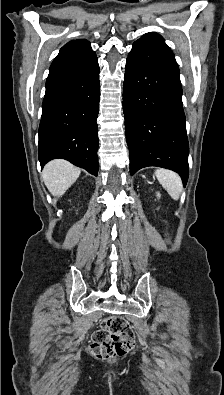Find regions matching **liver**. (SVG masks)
<instances>
[{"instance_id":"obj_1","label":"liver","mask_w":224,"mask_h":395,"mask_svg":"<svg viewBox=\"0 0 224 395\" xmlns=\"http://www.w3.org/2000/svg\"><path fill=\"white\" fill-rule=\"evenodd\" d=\"M81 170L63 159L52 160L42 171L43 181L53 196H62L78 179Z\"/></svg>"}]
</instances>
